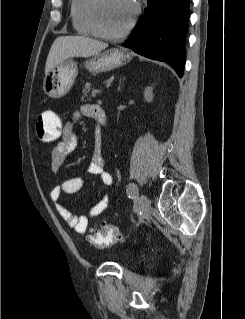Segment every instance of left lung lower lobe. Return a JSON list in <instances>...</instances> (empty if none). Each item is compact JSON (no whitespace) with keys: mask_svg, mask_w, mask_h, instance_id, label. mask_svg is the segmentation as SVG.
<instances>
[{"mask_svg":"<svg viewBox=\"0 0 245 319\" xmlns=\"http://www.w3.org/2000/svg\"><path fill=\"white\" fill-rule=\"evenodd\" d=\"M190 0H148V8L124 47L168 63L183 76Z\"/></svg>","mask_w":245,"mask_h":319,"instance_id":"left-lung-lower-lobe-1","label":"left lung lower lobe"}]
</instances>
